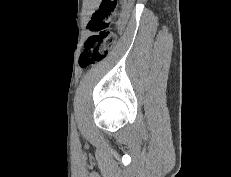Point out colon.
Here are the masks:
<instances>
[{"label": "colon", "mask_w": 231, "mask_h": 177, "mask_svg": "<svg viewBox=\"0 0 231 177\" xmlns=\"http://www.w3.org/2000/svg\"><path fill=\"white\" fill-rule=\"evenodd\" d=\"M121 1L126 2V0H102L93 13L88 23L91 35L87 38L79 57L80 67L88 68L104 60L113 47L116 41L113 18Z\"/></svg>", "instance_id": "5ec220e1"}]
</instances>
